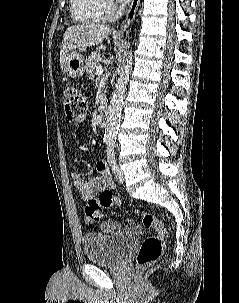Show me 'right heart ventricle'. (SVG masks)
Instances as JSON below:
<instances>
[{
	"instance_id": "right-heart-ventricle-1",
	"label": "right heart ventricle",
	"mask_w": 239,
	"mask_h": 303,
	"mask_svg": "<svg viewBox=\"0 0 239 303\" xmlns=\"http://www.w3.org/2000/svg\"><path fill=\"white\" fill-rule=\"evenodd\" d=\"M71 14L80 23H93L105 19L100 0H70Z\"/></svg>"
}]
</instances>
